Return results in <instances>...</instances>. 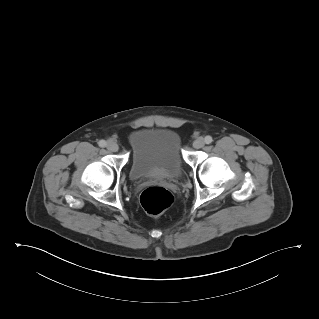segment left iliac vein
I'll use <instances>...</instances> for the list:
<instances>
[{
  "label": "left iliac vein",
  "instance_id": "4c4485c4",
  "mask_svg": "<svg viewBox=\"0 0 319 319\" xmlns=\"http://www.w3.org/2000/svg\"><path fill=\"white\" fill-rule=\"evenodd\" d=\"M205 145V141L202 137H199L197 139L194 140L193 142V147L196 149H200Z\"/></svg>",
  "mask_w": 319,
  "mask_h": 319
}]
</instances>
